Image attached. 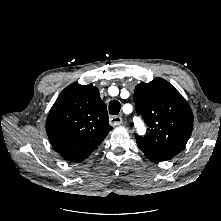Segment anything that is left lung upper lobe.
<instances>
[{"label":"left lung upper lobe","mask_w":221,"mask_h":221,"mask_svg":"<svg viewBox=\"0 0 221 221\" xmlns=\"http://www.w3.org/2000/svg\"><path fill=\"white\" fill-rule=\"evenodd\" d=\"M134 102L148 125L144 137L136 135L139 149L154 160L171 159L181 152L193 127V113L183 96L166 80L155 78L135 87Z\"/></svg>","instance_id":"obj_1"}]
</instances>
